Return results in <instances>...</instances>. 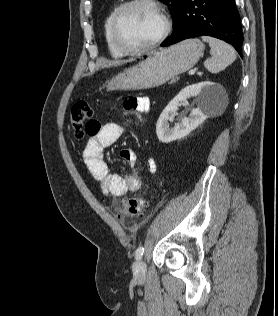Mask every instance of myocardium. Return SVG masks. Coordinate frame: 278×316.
<instances>
[{
  "label": "myocardium",
  "instance_id": "myocardium-1",
  "mask_svg": "<svg viewBox=\"0 0 278 316\" xmlns=\"http://www.w3.org/2000/svg\"><path fill=\"white\" fill-rule=\"evenodd\" d=\"M139 4H146L150 7H152L157 14L159 15L161 22H162V29L160 34L154 39L151 43L142 46L140 48H131L128 47L121 39L120 33H119V25L121 18L126 13L127 10H129L131 7ZM171 20L164 9V7L156 0H130L127 2H124L119 6V8L116 10V12L113 15L112 22H111V32L112 37L114 40L115 45L125 54L128 55H140L143 53H146L157 46H159L169 35L171 31Z\"/></svg>",
  "mask_w": 278,
  "mask_h": 316
}]
</instances>
